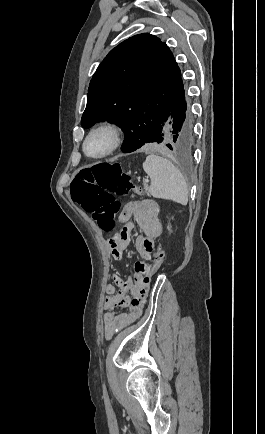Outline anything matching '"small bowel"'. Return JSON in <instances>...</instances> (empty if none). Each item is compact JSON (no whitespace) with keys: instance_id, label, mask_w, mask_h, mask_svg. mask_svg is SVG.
<instances>
[{"instance_id":"c3829d8e","label":"small bowel","mask_w":265,"mask_h":434,"mask_svg":"<svg viewBox=\"0 0 265 434\" xmlns=\"http://www.w3.org/2000/svg\"><path fill=\"white\" fill-rule=\"evenodd\" d=\"M160 206L152 199L132 201L126 204L122 213V220L125 223L121 230L125 232L110 237L107 241L113 257L122 260L124 251L130 240V233L137 225L142 234L136 238V248L145 260L154 258V240L162 232L160 221ZM142 263L137 262L133 272L136 275L124 279L120 271L113 274V283L105 286L104 297L105 314L102 318L103 333L106 339H111L114 334L129 324L135 322L142 314L143 303H148L150 291L137 286L133 280H141L148 274ZM145 272V273H144ZM138 275V276H137Z\"/></svg>"}]
</instances>
